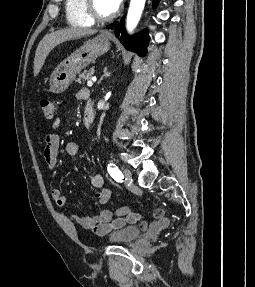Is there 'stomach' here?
Instances as JSON below:
<instances>
[{"mask_svg":"<svg viewBox=\"0 0 255 287\" xmlns=\"http://www.w3.org/2000/svg\"><path fill=\"white\" fill-rule=\"evenodd\" d=\"M112 38H114V36L99 34V36H96L93 40H88V42H84L83 46L77 48V50L71 54L67 68H65L61 74L54 72L50 82L51 92L61 94V92L67 90L73 80H75L76 74H79V72L84 70L89 64H94L99 56H103L105 52L110 50V40H112Z\"/></svg>","mask_w":255,"mask_h":287,"instance_id":"stomach-1","label":"stomach"}]
</instances>
